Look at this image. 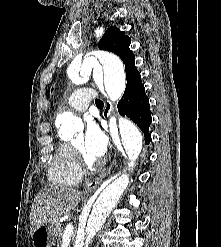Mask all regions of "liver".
I'll return each instance as SVG.
<instances>
[{
	"instance_id": "liver-1",
	"label": "liver",
	"mask_w": 221,
	"mask_h": 247,
	"mask_svg": "<svg viewBox=\"0 0 221 247\" xmlns=\"http://www.w3.org/2000/svg\"><path fill=\"white\" fill-rule=\"evenodd\" d=\"M82 193L71 187L45 186L37 195L30 213L31 233L42 225L54 223L79 203Z\"/></svg>"
}]
</instances>
